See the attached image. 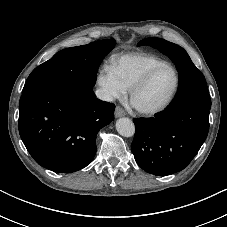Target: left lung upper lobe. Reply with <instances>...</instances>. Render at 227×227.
<instances>
[{
	"label": "left lung upper lobe",
	"mask_w": 227,
	"mask_h": 227,
	"mask_svg": "<svg viewBox=\"0 0 227 227\" xmlns=\"http://www.w3.org/2000/svg\"><path fill=\"white\" fill-rule=\"evenodd\" d=\"M152 46L167 55L177 66L179 84L170 108L201 106L210 109L211 100L205 77L193 64L187 52L180 46L160 38H146L138 43Z\"/></svg>",
	"instance_id": "5c2ea615"
}]
</instances>
